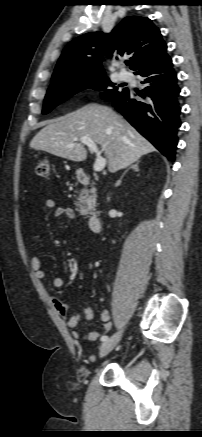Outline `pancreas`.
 <instances>
[{"mask_svg": "<svg viewBox=\"0 0 202 437\" xmlns=\"http://www.w3.org/2000/svg\"><path fill=\"white\" fill-rule=\"evenodd\" d=\"M89 193L90 195L88 193L82 192L78 197V201L75 203L76 210L79 211L80 214L84 216L89 213L88 204L96 202V189L92 188L89 191Z\"/></svg>", "mask_w": 202, "mask_h": 437, "instance_id": "1", "label": "pancreas"}]
</instances>
